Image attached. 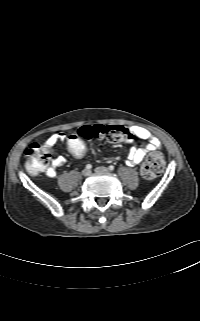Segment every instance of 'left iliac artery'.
Wrapping results in <instances>:
<instances>
[{"label": "left iliac artery", "mask_w": 200, "mask_h": 321, "mask_svg": "<svg viewBox=\"0 0 200 321\" xmlns=\"http://www.w3.org/2000/svg\"><path fill=\"white\" fill-rule=\"evenodd\" d=\"M109 170H111V171L114 170V166L110 165Z\"/></svg>", "instance_id": "obj_1"}]
</instances>
